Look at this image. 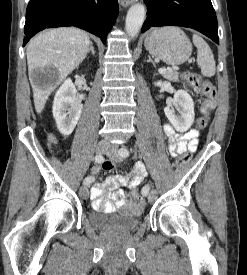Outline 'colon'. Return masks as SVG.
Here are the masks:
<instances>
[{"mask_svg":"<svg viewBox=\"0 0 247 275\" xmlns=\"http://www.w3.org/2000/svg\"><path fill=\"white\" fill-rule=\"evenodd\" d=\"M183 78L193 87L195 92L201 94L204 98L201 103V116L196 121V127L199 130L205 129L210 121V116L216 107V87L209 81L204 80L200 75L193 72H185ZM191 159V153L186 152L178 156L174 160L175 167H182ZM103 167L107 170L113 169L114 165L110 161H106ZM143 190H139L138 187L132 189V197L138 202H142Z\"/></svg>","mask_w":247,"mask_h":275,"instance_id":"5ec220e1","label":"colon"}]
</instances>
